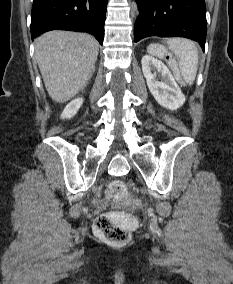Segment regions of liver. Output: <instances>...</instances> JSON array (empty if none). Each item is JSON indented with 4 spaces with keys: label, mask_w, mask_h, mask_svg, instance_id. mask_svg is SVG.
I'll return each instance as SVG.
<instances>
[{
    "label": "liver",
    "mask_w": 233,
    "mask_h": 284,
    "mask_svg": "<svg viewBox=\"0 0 233 284\" xmlns=\"http://www.w3.org/2000/svg\"><path fill=\"white\" fill-rule=\"evenodd\" d=\"M98 50L97 40L84 33L50 31L35 40V57L53 101L65 103L85 88Z\"/></svg>",
    "instance_id": "liver-1"
}]
</instances>
